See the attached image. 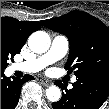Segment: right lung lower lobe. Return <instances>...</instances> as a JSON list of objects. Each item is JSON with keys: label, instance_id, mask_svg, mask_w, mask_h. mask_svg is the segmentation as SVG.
Returning a JSON list of instances; mask_svg holds the SVG:
<instances>
[{"label": "right lung lower lobe", "instance_id": "98d812e1", "mask_svg": "<svg viewBox=\"0 0 109 109\" xmlns=\"http://www.w3.org/2000/svg\"><path fill=\"white\" fill-rule=\"evenodd\" d=\"M32 79L33 76L25 75L23 79L10 80L1 72V109H14L19 101L21 86Z\"/></svg>", "mask_w": 109, "mask_h": 109}]
</instances>
